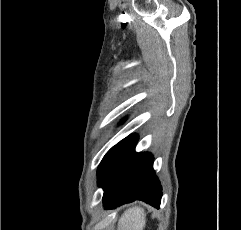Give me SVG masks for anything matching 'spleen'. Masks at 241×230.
Listing matches in <instances>:
<instances>
[{
    "mask_svg": "<svg viewBox=\"0 0 241 230\" xmlns=\"http://www.w3.org/2000/svg\"><path fill=\"white\" fill-rule=\"evenodd\" d=\"M143 208L134 206L126 210L118 221V230H143L146 223Z\"/></svg>",
    "mask_w": 241,
    "mask_h": 230,
    "instance_id": "3e777b00",
    "label": "spleen"
}]
</instances>
